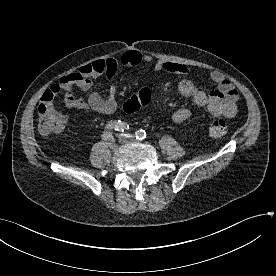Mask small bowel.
<instances>
[{"label":"small bowel","mask_w":276,"mask_h":276,"mask_svg":"<svg viewBox=\"0 0 276 276\" xmlns=\"http://www.w3.org/2000/svg\"><path fill=\"white\" fill-rule=\"evenodd\" d=\"M152 62L153 58L150 55L141 54L134 50L126 51L118 59L112 57L98 59L83 65L78 72L62 77L58 86L60 91L64 93V101L67 107L84 112L94 111L109 115L114 113L118 107L115 86H109L106 98H103L98 92L92 91L86 99L75 95L74 88L88 91L93 86L94 78L106 75L107 78L112 79L120 66L135 67L142 63L151 64ZM154 71H165L182 76L189 72L183 64L164 61L155 62ZM210 80L216 85V89L210 92L199 89L191 80L186 78L179 82L178 90L181 95L192 98L196 106L206 108L214 116L234 117L237 113L238 100L236 89L220 73H211ZM51 96V90H48L42 95L41 101H51ZM191 116L192 109L182 107L173 113L172 120L177 124H181L189 120Z\"/></svg>","instance_id":"c3829d8e"}]
</instances>
